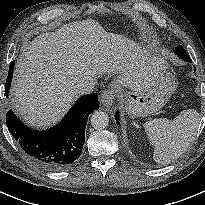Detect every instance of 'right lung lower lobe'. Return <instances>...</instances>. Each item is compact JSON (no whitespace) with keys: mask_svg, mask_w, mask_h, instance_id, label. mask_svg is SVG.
Masks as SVG:
<instances>
[{"mask_svg":"<svg viewBox=\"0 0 205 205\" xmlns=\"http://www.w3.org/2000/svg\"><path fill=\"white\" fill-rule=\"evenodd\" d=\"M13 68L8 72L11 79ZM98 108V96L92 93L81 97L61 122L49 130L38 131L26 127L12 110L7 112L6 123L12 136L37 165L60 171L76 163L85 142L88 116Z\"/></svg>","mask_w":205,"mask_h":205,"instance_id":"obj_1","label":"right lung lower lobe"}]
</instances>
